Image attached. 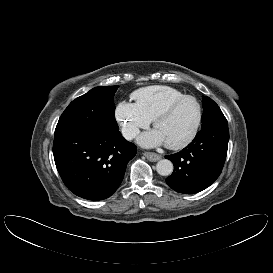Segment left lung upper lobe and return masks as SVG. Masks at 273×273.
Returning a JSON list of instances; mask_svg holds the SVG:
<instances>
[{"label":"left lung upper lobe","instance_id":"1","mask_svg":"<svg viewBox=\"0 0 273 273\" xmlns=\"http://www.w3.org/2000/svg\"><path fill=\"white\" fill-rule=\"evenodd\" d=\"M202 104L204 112L202 115L201 130L228 126L227 120L219 106L211 98L207 96L203 97Z\"/></svg>","mask_w":273,"mask_h":273}]
</instances>
